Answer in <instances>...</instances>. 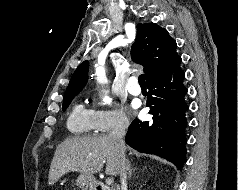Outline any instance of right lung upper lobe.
I'll return each mask as SVG.
<instances>
[{"label": "right lung upper lobe", "instance_id": "1", "mask_svg": "<svg viewBox=\"0 0 238 190\" xmlns=\"http://www.w3.org/2000/svg\"><path fill=\"white\" fill-rule=\"evenodd\" d=\"M176 42L166 29L154 23L137 25V36L131 48L132 60L144 67L146 81L165 72L180 59ZM89 62H82L74 72L65 96L79 93L86 84Z\"/></svg>", "mask_w": 238, "mask_h": 190}]
</instances>
